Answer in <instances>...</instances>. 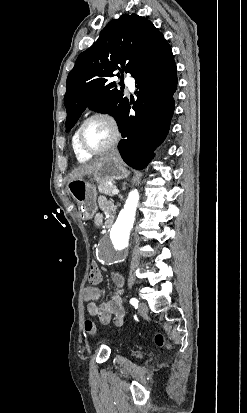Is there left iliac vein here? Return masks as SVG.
Returning a JSON list of instances; mask_svg holds the SVG:
<instances>
[{"instance_id":"left-iliac-vein-1","label":"left iliac vein","mask_w":247,"mask_h":413,"mask_svg":"<svg viewBox=\"0 0 247 413\" xmlns=\"http://www.w3.org/2000/svg\"><path fill=\"white\" fill-rule=\"evenodd\" d=\"M147 312H148V307H147L146 303L145 302H140L139 303V313L141 315H144Z\"/></svg>"}]
</instances>
